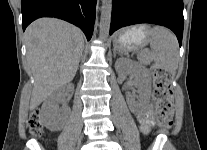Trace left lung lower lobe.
<instances>
[{"label":"left lung lower lobe","instance_id":"1","mask_svg":"<svg viewBox=\"0 0 207 150\" xmlns=\"http://www.w3.org/2000/svg\"><path fill=\"white\" fill-rule=\"evenodd\" d=\"M139 23L168 27L181 46L183 0H113L110 35L121 27Z\"/></svg>","mask_w":207,"mask_h":150}]
</instances>
